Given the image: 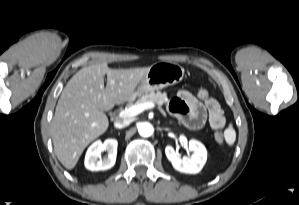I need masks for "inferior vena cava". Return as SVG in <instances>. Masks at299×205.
<instances>
[{
	"label": "inferior vena cava",
	"instance_id": "602c4592",
	"mask_svg": "<svg viewBox=\"0 0 299 205\" xmlns=\"http://www.w3.org/2000/svg\"><path fill=\"white\" fill-rule=\"evenodd\" d=\"M130 124L129 120H118L114 123V126L118 129L124 128Z\"/></svg>",
	"mask_w": 299,
	"mask_h": 205
}]
</instances>
